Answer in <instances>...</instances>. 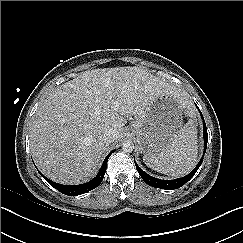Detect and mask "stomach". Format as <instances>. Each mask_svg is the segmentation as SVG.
I'll use <instances>...</instances> for the list:
<instances>
[{"instance_id":"0dacf381","label":"stomach","mask_w":243,"mask_h":243,"mask_svg":"<svg viewBox=\"0 0 243 243\" xmlns=\"http://www.w3.org/2000/svg\"><path fill=\"white\" fill-rule=\"evenodd\" d=\"M182 129V106L170 95L155 98L131 124L141 152L153 155L168 147Z\"/></svg>"}]
</instances>
